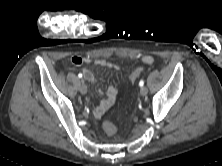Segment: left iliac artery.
<instances>
[{
	"instance_id": "44dca946",
	"label": "left iliac artery",
	"mask_w": 222,
	"mask_h": 166,
	"mask_svg": "<svg viewBox=\"0 0 222 166\" xmlns=\"http://www.w3.org/2000/svg\"><path fill=\"white\" fill-rule=\"evenodd\" d=\"M143 85H144V80H141V81L139 82V86L142 87Z\"/></svg>"
}]
</instances>
